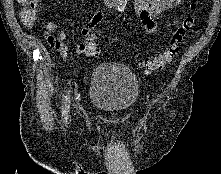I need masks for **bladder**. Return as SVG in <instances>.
I'll use <instances>...</instances> for the list:
<instances>
[{"instance_id": "bladder-1", "label": "bladder", "mask_w": 221, "mask_h": 174, "mask_svg": "<svg viewBox=\"0 0 221 174\" xmlns=\"http://www.w3.org/2000/svg\"><path fill=\"white\" fill-rule=\"evenodd\" d=\"M140 88L133 71L117 63L99 65L92 73L90 102L107 112H124L136 104Z\"/></svg>"}]
</instances>
